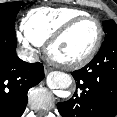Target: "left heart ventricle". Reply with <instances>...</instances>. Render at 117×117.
<instances>
[{"label": "left heart ventricle", "instance_id": "b2bd125f", "mask_svg": "<svg viewBox=\"0 0 117 117\" xmlns=\"http://www.w3.org/2000/svg\"><path fill=\"white\" fill-rule=\"evenodd\" d=\"M98 34L93 20H85L75 26L52 48V54L59 60L73 61L87 55L92 49Z\"/></svg>", "mask_w": 117, "mask_h": 117}]
</instances>
